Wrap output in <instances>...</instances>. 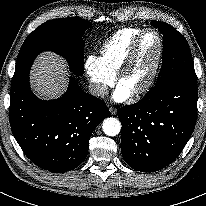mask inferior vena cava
Instances as JSON below:
<instances>
[{
	"mask_svg": "<svg viewBox=\"0 0 206 206\" xmlns=\"http://www.w3.org/2000/svg\"><path fill=\"white\" fill-rule=\"evenodd\" d=\"M90 94L96 97H104L107 95V86L103 84H90L89 87Z\"/></svg>",
	"mask_w": 206,
	"mask_h": 206,
	"instance_id": "obj_1",
	"label": "inferior vena cava"
}]
</instances>
